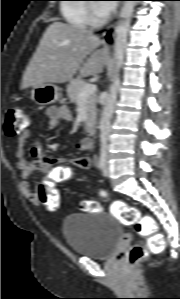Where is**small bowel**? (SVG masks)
Masks as SVG:
<instances>
[{"label":"small bowel","mask_w":180,"mask_h":299,"mask_svg":"<svg viewBox=\"0 0 180 299\" xmlns=\"http://www.w3.org/2000/svg\"><path fill=\"white\" fill-rule=\"evenodd\" d=\"M48 116V130H57L63 122L71 120V113L67 107L50 106L46 110ZM30 130H24L17 141V168L20 171L21 187L25 197L33 204L39 203L38 193L31 189L30 179L35 172H42L54 181H64L68 178L71 167L88 169L91 160L88 157H52L44 153L39 143H34L26 157V145L31 139ZM93 141L84 138L79 143V149L90 151Z\"/></svg>","instance_id":"c3829d8e"}]
</instances>
